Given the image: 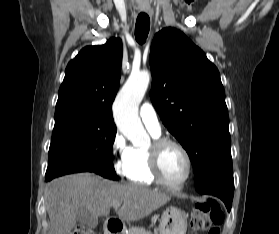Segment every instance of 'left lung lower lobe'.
Listing matches in <instances>:
<instances>
[{
  "mask_svg": "<svg viewBox=\"0 0 279 234\" xmlns=\"http://www.w3.org/2000/svg\"><path fill=\"white\" fill-rule=\"evenodd\" d=\"M197 191L202 194L219 197L225 203L227 210H231L234 193V180L231 182L216 181L198 189Z\"/></svg>",
  "mask_w": 279,
  "mask_h": 234,
  "instance_id": "1",
  "label": "left lung lower lobe"
}]
</instances>
